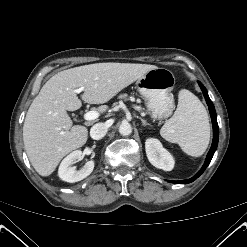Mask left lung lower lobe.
<instances>
[{
    "instance_id": "1",
    "label": "left lung lower lobe",
    "mask_w": 247,
    "mask_h": 247,
    "mask_svg": "<svg viewBox=\"0 0 247 247\" xmlns=\"http://www.w3.org/2000/svg\"><path fill=\"white\" fill-rule=\"evenodd\" d=\"M198 83H199V86H200V88H201V90H202V92L204 94L206 102L208 104L210 115H211V119H212V125H213V142H212V146L210 148V151L207 154V157H206L204 165L202 166L200 171L195 176H193L190 179L182 180V181H169V182H172V183L187 184V183H191L194 180H196L204 172V170L207 168V166L211 162V159H212V157H213V155L215 153V150L217 148V145H218L219 129H218L216 111H215V108H214V105H213L212 101L210 100V98L208 96L207 90L205 89V87L202 85L201 82H198Z\"/></svg>"
}]
</instances>
